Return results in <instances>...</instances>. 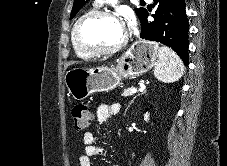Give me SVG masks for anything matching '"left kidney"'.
I'll use <instances>...</instances> for the list:
<instances>
[{"instance_id":"5707ae66","label":"left kidney","mask_w":227,"mask_h":166,"mask_svg":"<svg viewBox=\"0 0 227 166\" xmlns=\"http://www.w3.org/2000/svg\"><path fill=\"white\" fill-rule=\"evenodd\" d=\"M144 119H145L146 121L149 119V114H148V113H146V114L144 115Z\"/></svg>"}]
</instances>
